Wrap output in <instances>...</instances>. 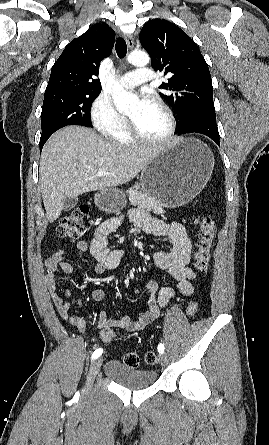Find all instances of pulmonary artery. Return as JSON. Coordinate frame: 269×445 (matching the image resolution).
Here are the masks:
<instances>
[{
	"label": "pulmonary artery",
	"instance_id": "e3ab8cb5",
	"mask_svg": "<svg viewBox=\"0 0 269 445\" xmlns=\"http://www.w3.org/2000/svg\"><path fill=\"white\" fill-rule=\"evenodd\" d=\"M154 77H155L154 73L151 69L146 67H141L136 70L125 73L120 78V83L124 87L132 88L142 83L149 82L153 80Z\"/></svg>",
	"mask_w": 269,
	"mask_h": 445
}]
</instances>
